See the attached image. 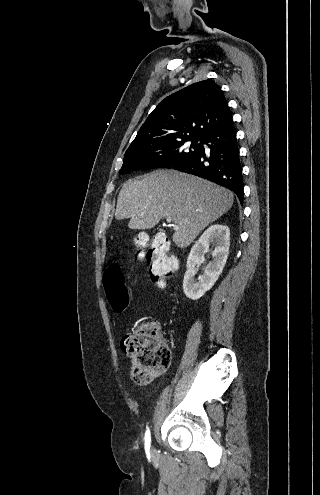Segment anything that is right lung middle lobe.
I'll use <instances>...</instances> for the list:
<instances>
[{
    "label": "right lung middle lobe",
    "instance_id": "1",
    "mask_svg": "<svg viewBox=\"0 0 320 495\" xmlns=\"http://www.w3.org/2000/svg\"><path fill=\"white\" fill-rule=\"evenodd\" d=\"M201 138H185L154 145H142L125 153L121 174L135 170L172 168L191 158L200 148Z\"/></svg>",
    "mask_w": 320,
    "mask_h": 495
}]
</instances>
